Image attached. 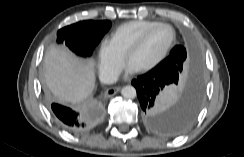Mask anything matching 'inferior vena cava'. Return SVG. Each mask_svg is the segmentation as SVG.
<instances>
[{"label": "inferior vena cava", "instance_id": "inferior-vena-cava-1", "mask_svg": "<svg viewBox=\"0 0 244 157\" xmlns=\"http://www.w3.org/2000/svg\"><path fill=\"white\" fill-rule=\"evenodd\" d=\"M117 79H118V74L111 72L103 75L102 82L105 84H112L115 83Z\"/></svg>", "mask_w": 244, "mask_h": 157}]
</instances>
